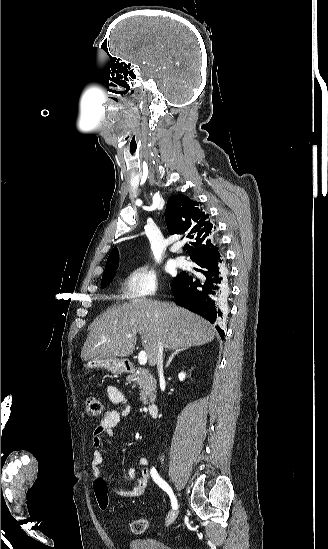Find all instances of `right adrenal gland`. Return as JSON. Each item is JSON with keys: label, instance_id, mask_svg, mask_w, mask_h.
Instances as JSON below:
<instances>
[{"label": "right adrenal gland", "instance_id": "right-adrenal-gland-1", "mask_svg": "<svg viewBox=\"0 0 328 549\" xmlns=\"http://www.w3.org/2000/svg\"><path fill=\"white\" fill-rule=\"evenodd\" d=\"M180 351H185V349H177V351H175V353H173V355H171V357H169V361H168L167 365H169V363H171L172 359H174L175 355H178V353H180Z\"/></svg>", "mask_w": 328, "mask_h": 549}]
</instances>
